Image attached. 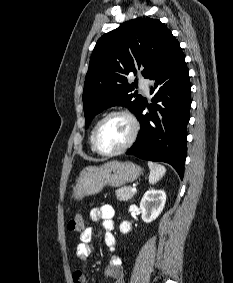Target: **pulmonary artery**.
I'll use <instances>...</instances> for the list:
<instances>
[{
  "label": "pulmonary artery",
  "mask_w": 233,
  "mask_h": 283,
  "mask_svg": "<svg viewBox=\"0 0 233 283\" xmlns=\"http://www.w3.org/2000/svg\"><path fill=\"white\" fill-rule=\"evenodd\" d=\"M139 86L140 88L145 92V94H148L149 93V82L148 80L146 79H140L139 80Z\"/></svg>",
  "instance_id": "obj_1"
}]
</instances>
